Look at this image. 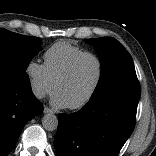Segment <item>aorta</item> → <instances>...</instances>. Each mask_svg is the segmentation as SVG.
<instances>
[{
	"mask_svg": "<svg viewBox=\"0 0 156 156\" xmlns=\"http://www.w3.org/2000/svg\"><path fill=\"white\" fill-rule=\"evenodd\" d=\"M42 125L47 131H54L58 127V119L54 114H46L42 118Z\"/></svg>",
	"mask_w": 156,
	"mask_h": 156,
	"instance_id": "1",
	"label": "aorta"
}]
</instances>
